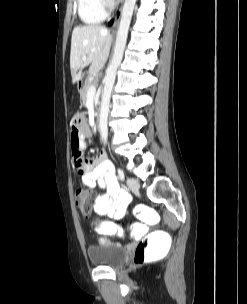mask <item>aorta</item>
Instances as JSON below:
<instances>
[{"mask_svg":"<svg viewBox=\"0 0 247 304\" xmlns=\"http://www.w3.org/2000/svg\"><path fill=\"white\" fill-rule=\"evenodd\" d=\"M135 3L136 0H125L122 9L119 28L117 31L114 54L107 68L106 75L104 77V90L102 93L100 121H99L100 135L104 144L107 143V138H108L107 119L109 114L111 92L115 83L117 69L123 57V52L127 41L128 30H129L133 10L135 7Z\"/></svg>","mask_w":247,"mask_h":304,"instance_id":"762f6f07","label":"aorta"}]
</instances>
